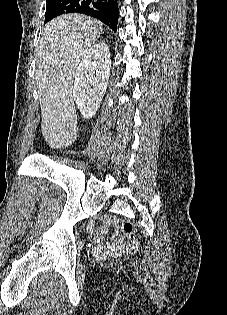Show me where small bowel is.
Masks as SVG:
<instances>
[{"label":"small bowel","mask_w":227,"mask_h":315,"mask_svg":"<svg viewBox=\"0 0 227 315\" xmlns=\"http://www.w3.org/2000/svg\"><path fill=\"white\" fill-rule=\"evenodd\" d=\"M110 225V223H109ZM108 225H105L99 229L100 234H106L108 232ZM119 239L117 237H112L109 241L104 242L99 240L97 242V247H99L102 250L111 251L115 250L119 246Z\"/></svg>","instance_id":"small-bowel-1"}]
</instances>
